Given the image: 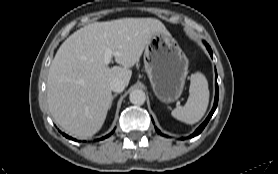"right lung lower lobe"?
Here are the masks:
<instances>
[{
	"label": "right lung lower lobe",
	"mask_w": 278,
	"mask_h": 174,
	"mask_svg": "<svg viewBox=\"0 0 278 174\" xmlns=\"http://www.w3.org/2000/svg\"><path fill=\"white\" fill-rule=\"evenodd\" d=\"M63 135H64L65 137H67V138L71 139V140H75V139L71 138L70 136H68V135H66V134H64V133H63ZM108 136H110V134H109V135H107V136H105L104 138H107ZM104 138H102V139H104Z\"/></svg>",
	"instance_id": "obj_1"
}]
</instances>
